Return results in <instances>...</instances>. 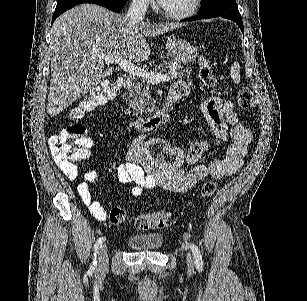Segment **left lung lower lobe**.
Here are the masks:
<instances>
[{
    "label": "left lung lower lobe",
    "mask_w": 307,
    "mask_h": 301,
    "mask_svg": "<svg viewBox=\"0 0 307 301\" xmlns=\"http://www.w3.org/2000/svg\"><path fill=\"white\" fill-rule=\"evenodd\" d=\"M214 17H223L226 19H230L232 21H234L236 24H238V26L240 27L242 33L244 34V30H243V22H242V18L241 16H231V15H218V14H211V15H198L194 18H190V19H186L183 21H193V20H197V19H208V18H214Z\"/></svg>",
    "instance_id": "obj_1"
}]
</instances>
